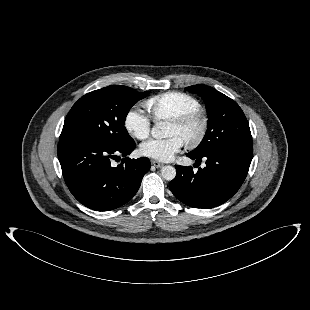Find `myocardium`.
Returning a JSON list of instances; mask_svg holds the SVG:
<instances>
[{"instance_id": "1", "label": "myocardium", "mask_w": 310, "mask_h": 310, "mask_svg": "<svg viewBox=\"0 0 310 310\" xmlns=\"http://www.w3.org/2000/svg\"><path fill=\"white\" fill-rule=\"evenodd\" d=\"M169 121L170 123L182 128L187 127L188 125L194 122L199 123L200 129L198 134L193 139L184 142V144L188 148L193 149L201 145L208 134L209 119L201 109L183 113L179 116L170 119Z\"/></svg>"}]
</instances>
